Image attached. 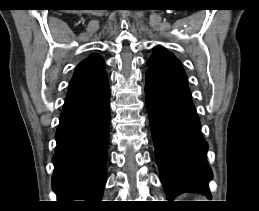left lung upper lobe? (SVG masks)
<instances>
[{
  "label": "left lung upper lobe",
  "mask_w": 259,
  "mask_h": 211,
  "mask_svg": "<svg viewBox=\"0 0 259 211\" xmlns=\"http://www.w3.org/2000/svg\"><path fill=\"white\" fill-rule=\"evenodd\" d=\"M147 65L145 77L171 86L188 87L187 76L181 62L163 47H156Z\"/></svg>",
  "instance_id": "left-lung-upper-lobe-1"
}]
</instances>
